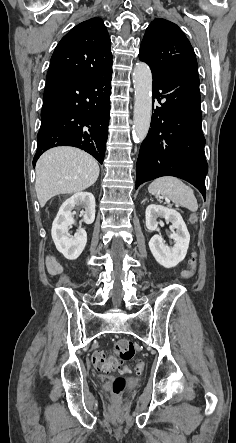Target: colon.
Listing matches in <instances>:
<instances>
[{
    "mask_svg": "<svg viewBox=\"0 0 236 443\" xmlns=\"http://www.w3.org/2000/svg\"><path fill=\"white\" fill-rule=\"evenodd\" d=\"M194 220V217H192ZM190 268L184 270L181 274L182 278H190L193 276L196 267V257H192L190 261ZM135 355V346L129 339H118L113 346L111 355H106L102 351H97L92 355L93 366L99 371H122L128 370L126 363L131 361ZM145 369L143 362H137L136 371L142 372ZM126 387V382L123 378H117L112 383L111 394L112 399L117 401Z\"/></svg>",
    "mask_w": 236,
    "mask_h": 443,
    "instance_id": "obj_1",
    "label": "colon"
}]
</instances>
